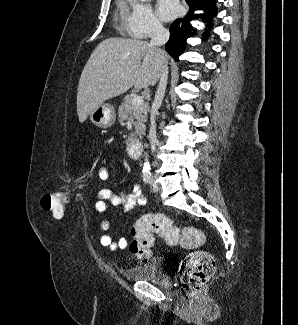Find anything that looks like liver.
<instances>
[{"instance_id": "obj_1", "label": "liver", "mask_w": 298, "mask_h": 325, "mask_svg": "<svg viewBox=\"0 0 298 325\" xmlns=\"http://www.w3.org/2000/svg\"><path fill=\"white\" fill-rule=\"evenodd\" d=\"M160 48L138 38H105L90 54L79 78L77 114L84 122L94 108L129 88H147L159 80L164 64Z\"/></svg>"}]
</instances>
